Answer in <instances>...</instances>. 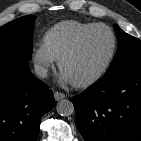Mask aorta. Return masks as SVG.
<instances>
[{
    "label": "aorta",
    "mask_w": 141,
    "mask_h": 141,
    "mask_svg": "<svg viewBox=\"0 0 141 141\" xmlns=\"http://www.w3.org/2000/svg\"><path fill=\"white\" fill-rule=\"evenodd\" d=\"M56 110L59 115L66 117L74 113V106L71 101L63 99L57 103Z\"/></svg>",
    "instance_id": "aorta-1"
}]
</instances>
